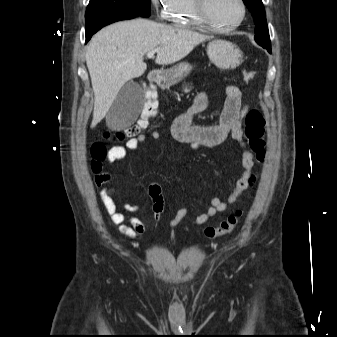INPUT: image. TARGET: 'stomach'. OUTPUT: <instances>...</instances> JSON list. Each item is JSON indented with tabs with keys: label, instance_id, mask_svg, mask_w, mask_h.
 Here are the masks:
<instances>
[{
	"label": "stomach",
	"instance_id": "1",
	"mask_svg": "<svg viewBox=\"0 0 337 337\" xmlns=\"http://www.w3.org/2000/svg\"><path fill=\"white\" fill-rule=\"evenodd\" d=\"M207 54L212 63L221 69H234L242 63V52L240 49L224 40H214L207 46ZM192 70L187 62H182L170 69L161 72L160 79L171 85L184 79Z\"/></svg>",
	"mask_w": 337,
	"mask_h": 337
}]
</instances>
